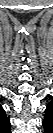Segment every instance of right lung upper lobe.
Masks as SVG:
<instances>
[{"label": "right lung upper lobe", "instance_id": "obj_1", "mask_svg": "<svg viewBox=\"0 0 53 133\" xmlns=\"http://www.w3.org/2000/svg\"><path fill=\"white\" fill-rule=\"evenodd\" d=\"M0 129L10 132V121L7 119L5 110L0 106Z\"/></svg>", "mask_w": 53, "mask_h": 133}]
</instances>
